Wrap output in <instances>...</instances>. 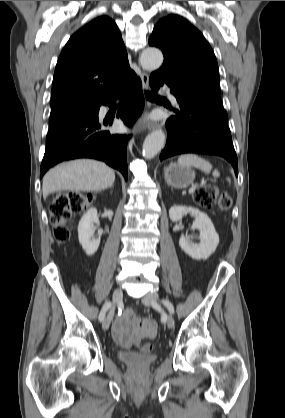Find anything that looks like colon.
Returning <instances> with one entry per match:
<instances>
[{
	"label": "colon",
	"instance_id": "5ec220e1",
	"mask_svg": "<svg viewBox=\"0 0 285 418\" xmlns=\"http://www.w3.org/2000/svg\"><path fill=\"white\" fill-rule=\"evenodd\" d=\"M195 201L204 208L218 206L223 211L231 208L232 200L226 193H221L219 188L212 183L200 186L194 193ZM86 206V197L78 191H61L57 194L50 207L51 221L55 224L54 238L60 242H66L72 235V229L68 220L82 212ZM140 349L143 352H151L153 347L149 342L142 343Z\"/></svg>",
	"mask_w": 285,
	"mask_h": 418
}]
</instances>
